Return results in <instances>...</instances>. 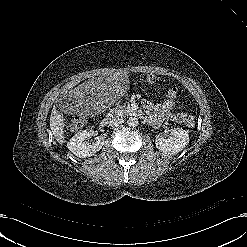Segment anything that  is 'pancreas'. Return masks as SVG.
Instances as JSON below:
<instances>
[{
    "mask_svg": "<svg viewBox=\"0 0 247 247\" xmlns=\"http://www.w3.org/2000/svg\"><path fill=\"white\" fill-rule=\"evenodd\" d=\"M116 111H119L121 114H128L131 113L132 110L129 106H119L115 108Z\"/></svg>",
    "mask_w": 247,
    "mask_h": 247,
    "instance_id": "obj_1",
    "label": "pancreas"
}]
</instances>
